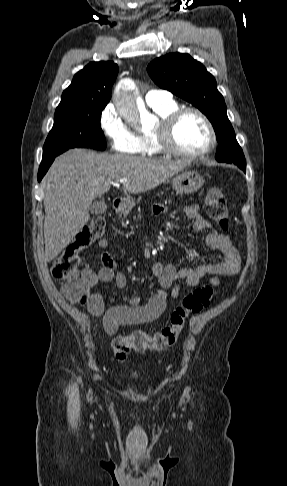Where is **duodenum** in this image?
Instances as JSON below:
<instances>
[{"label": "duodenum", "mask_w": 287, "mask_h": 486, "mask_svg": "<svg viewBox=\"0 0 287 486\" xmlns=\"http://www.w3.org/2000/svg\"><path fill=\"white\" fill-rule=\"evenodd\" d=\"M113 206H114V209L118 212L122 211L123 210V207H124V203L122 200L120 199H117L113 202Z\"/></svg>", "instance_id": "duodenum-1"}]
</instances>
